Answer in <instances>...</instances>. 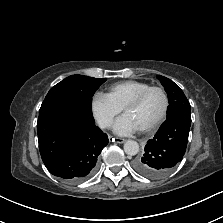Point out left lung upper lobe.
Returning a JSON list of instances; mask_svg holds the SVG:
<instances>
[{
    "label": "left lung upper lobe",
    "mask_w": 223,
    "mask_h": 223,
    "mask_svg": "<svg viewBox=\"0 0 223 223\" xmlns=\"http://www.w3.org/2000/svg\"><path fill=\"white\" fill-rule=\"evenodd\" d=\"M168 95L169 106L167 118L174 115H182L191 118V107L183 91L170 79L157 75Z\"/></svg>",
    "instance_id": "1"
}]
</instances>
